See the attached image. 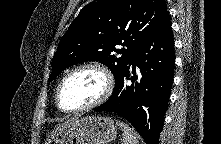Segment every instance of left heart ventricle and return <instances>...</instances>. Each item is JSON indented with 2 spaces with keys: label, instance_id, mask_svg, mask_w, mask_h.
I'll list each match as a JSON object with an SVG mask.
<instances>
[{
  "label": "left heart ventricle",
  "instance_id": "1",
  "mask_svg": "<svg viewBox=\"0 0 221 144\" xmlns=\"http://www.w3.org/2000/svg\"><path fill=\"white\" fill-rule=\"evenodd\" d=\"M105 80L101 73L84 69L73 74L61 91L63 107L72 109L95 101L103 92Z\"/></svg>",
  "mask_w": 221,
  "mask_h": 144
}]
</instances>
